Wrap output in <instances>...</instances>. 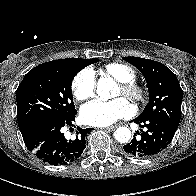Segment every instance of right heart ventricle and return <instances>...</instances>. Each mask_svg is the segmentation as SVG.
I'll return each instance as SVG.
<instances>
[{
  "label": "right heart ventricle",
  "mask_w": 196,
  "mask_h": 196,
  "mask_svg": "<svg viewBox=\"0 0 196 196\" xmlns=\"http://www.w3.org/2000/svg\"><path fill=\"white\" fill-rule=\"evenodd\" d=\"M102 74L118 82L134 81L136 79V72L132 67L118 62L105 65L102 69Z\"/></svg>",
  "instance_id": "1"
}]
</instances>
